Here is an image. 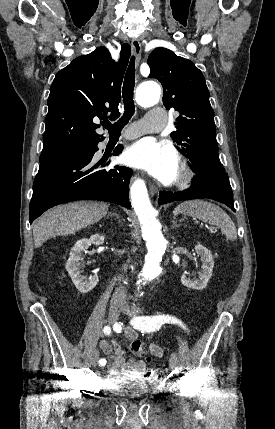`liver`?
Instances as JSON below:
<instances>
[{
  "label": "liver",
  "mask_w": 275,
  "mask_h": 429,
  "mask_svg": "<svg viewBox=\"0 0 275 429\" xmlns=\"http://www.w3.org/2000/svg\"><path fill=\"white\" fill-rule=\"evenodd\" d=\"M108 207L102 202H75L48 210L33 223L36 248L51 237L73 234L98 222Z\"/></svg>",
  "instance_id": "1"
}]
</instances>
